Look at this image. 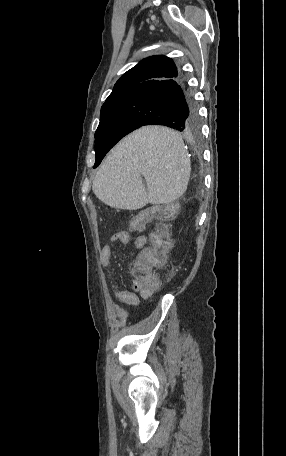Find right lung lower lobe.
I'll return each mask as SVG.
<instances>
[{"instance_id":"obj_1","label":"right lung lower lobe","mask_w":286,"mask_h":456,"mask_svg":"<svg viewBox=\"0 0 286 456\" xmlns=\"http://www.w3.org/2000/svg\"><path fill=\"white\" fill-rule=\"evenodd\" d=\"M125 98L131 106L135 129L150 124L165 125L185 134L198 129L197 107L181 77L153 83Z\"/></svg>"}]
</instances>
